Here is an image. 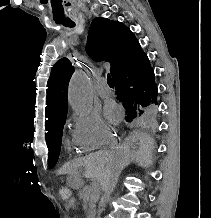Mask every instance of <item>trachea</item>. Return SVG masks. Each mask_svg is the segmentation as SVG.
<instances>
[{"instance_id":"obj_1","label":"trachea","mask_w":211,"mask_h":218,"mask_svg":"<svg viewBox=\"0 0 211 218\" xmlns=\"http://www.w3.org/2000/svg\"><path fill=\"white\" fill-rule=\"evenodd\" d=\"M71 28H72V27H71ZM107 83H108V85H109V84H113L111 75H110L109 73H108V75H107Z\"/></svg>"}]
</instances>
